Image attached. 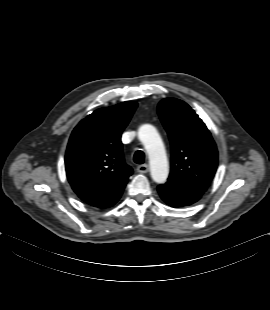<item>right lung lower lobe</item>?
Here are the masks:
<instances>
[{"instance_id": "98d812e1", "label": "right lung lower lobe", "mask_w": 270, "mask_h": 310, "mask_svg": "<svg viewBox=\"0 0 270 310\" xmlns=\"http://www.w3.org/2000/svg\"><path fill=\"white\" fill-rule=\"evenodd\" d=\"M124 187L121 188L120 190H118L117 192H115L110 197H108L105 200H103L102 202H100L98 204H95L93 206L99 207V208H108V207L113 206L119 200V198H120V196H121V194L123 192Z\"/></svg>"}]
</instances>
